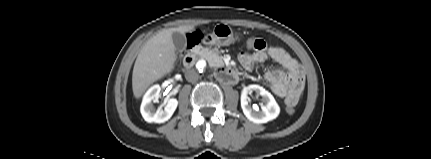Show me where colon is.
Here are the masks:
<instances>
[{
    "label": "colon",
    "mask_w": 431,
    "mask_h": 159,
    "mask_svg": "<svg viewBox=\"0 0 431 159\" xmlns=\"http://www.w3.org/2000/svg\"><path fill=\"white\" fill-rule=\"evenodd\" d=\"M199 40V36L198 35H191L190 37H189V43L190 44H192V43H195V42H197ZM255 44V41L253 40V39H247L246 40V43L244 44V49L246 50V51H250L252 48H253V45ZM294 110H295V108H290V107H288V103H286V111L288 112V113H293L294 112Z\"/></svg>",
    "instance_id": "5ec220e1"
}]
</instances>
